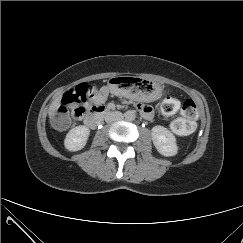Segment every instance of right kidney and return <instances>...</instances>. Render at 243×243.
Returning <instances> with one entry per match:
<instances>
[{
	"label": "right kidney",
	"mask_w": 243,
	"mask_h": 243,
	"mask_svg": "<svg viewBox=\"0 0 243 243\" xmlns=\"http://www.w3.org/2000/svg\"><path fill=\"white\" fill-rule=\"evenodd\" d=\"M90 134V129L79 125L72 128L64 140L65 148L69 151H78L84 148Z\"/></svg>",
	"instance_id": "1"
}]
</instances>
